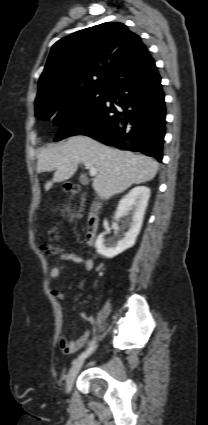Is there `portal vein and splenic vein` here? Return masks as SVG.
<instances>
[{"mask_svg":"<svg viewBox=\"0 0 208 425\" xmlns=\"http://www.w3.org/2000/svg\"><path fill=\"white\" fill-rule=\"evenodd\" d=\"M84 165L87 169H89V173L91 177H94L97 175L98 170L91 163L85 162Z\"/></svg>","mask_w":208,"mask_h":425,"instance_id":"1","label":"portal vein and splenic vein"}]
</instances>
